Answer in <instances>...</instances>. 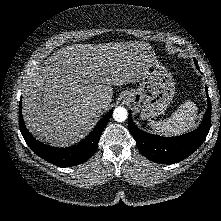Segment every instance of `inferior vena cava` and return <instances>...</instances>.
<instances>
[{"mask_svg": "<svg viewBox=\"0 0 221 221\" xmlns=\"http://www.w3.org/2000/svg\"><path fill=\"white\" fill-rule=\"evenodd\" d=\"M93 105L96 109H100L104 106V102L103 100L99 99L96 102H94Z\"/></svg>", "mask_w": 221, "mask_h": 221, "instance_id": "602c4592", "label": "inferior vena cava"}]
</instances>
